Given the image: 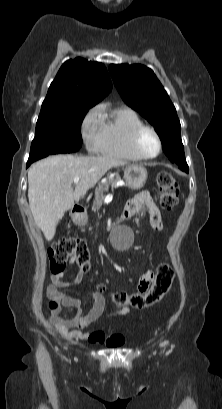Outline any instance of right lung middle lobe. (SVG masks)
<instances>
[{
  "label": "right lung middle lobe",
  "mask_w": 222,
  "mask_h": 409,
  "mask_svg": "<svg viewBox=\"0 0 222 409\" xmlns=\"http://www.w3.org/2000/svg\"><path fill=\"white\" fill-rule=\"evenodd\" d=\"M90 107L74 105L42 109L27 163L52 154L78 151L82 145L81 123Z\"/></svg>",
  "instance_id": "right-lung-middle-lobe-1"
}]
</instances>
